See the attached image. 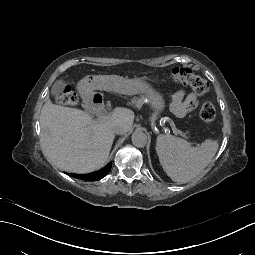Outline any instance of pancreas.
Masks as SVG:
<instances>
[{"label":"pancreas","instance_id":"1","mask_svg":"<svg viewBox=\"0 0 255 255\" xmlns=\"http://www.w3.org/2000/svg\"><path fill=\"white\" fill-rule=\"evenodd\" d=\"M132 102H133V105H135L137 107H141V105L143 104L142 99H135Z\"/></svg>","mask_w":255,"mask_h":255}]
</instances>
